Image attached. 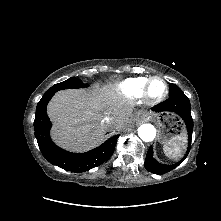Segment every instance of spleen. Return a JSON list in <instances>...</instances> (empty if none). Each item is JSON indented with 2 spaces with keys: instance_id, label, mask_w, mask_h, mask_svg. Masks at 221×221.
<instances>
[{
  "instance_id": "obj_1",
  "label": "spleen",
  "mask_w": 221,
  "mask_h": 221,
  "mask_svg": "<svg viewBox=\"0 0 221 221\" xmlns=\"http://www.w3.org/2000/svg\"><path fill=\"white\" fill-rule=\"evenodd\" d=\"M186 143L187 136L185 133L171 138V140L163 147L165 155L171 159H178L182 155Z\"/></svg>"
}]
</instances>
